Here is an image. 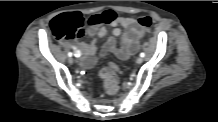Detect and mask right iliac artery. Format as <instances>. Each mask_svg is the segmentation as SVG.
<instances>
[{
	"instance_id": "obj_1",
	"label": "right iliac artery",
	"mask_w": 218,
	"mask_h": 122,
	"mask_svg": "<svg viewBox=\"0 0 218 122\" xmlns=\"http://www.w3.org/2000/svg\"><path fill=\"white\" fill-rule=\"evenodd\" d=\"M68 56H69V57H71V56H72V53H71V52H69V53H68Z\"/></svg>"
}]
</instances>
